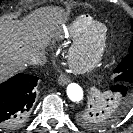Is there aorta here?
I'll return each instance as SVG.
<instances>
[{
    "label": "aorta",
    "instance_id": "obj_1",
    "mask_svg": "<svg viewBox=\"0 0 133 133\" xmlns=\"http://www.w3.org/2000/svg\"><path fill=\"white\" fill-rule=\"evenodd\" d=\"M67 96L72 102H81L83 100L84 92L81 86L77 83H70L67 86Z\"/></svg>",
    "mask_w": 133,
    "mask_h": 133
}]
</instances>
